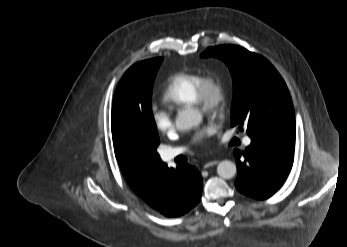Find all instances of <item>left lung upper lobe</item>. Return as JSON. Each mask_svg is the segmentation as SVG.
I'll return each instance as SVG.
<instances>
[{
  "instance_id": "left-lung-upper-lobe-1",
  "label": "left lung upper lobe",
  "mask_w": 347,
  "mask_h": 247,
  "mask_svg": "<svg viewBox=\"0 0 347 247\" xmlns=\"http://www.w3.org/2000/svg\"><path fill=\"white\" fill-rule=\"evenodd\" d=\"M202 57L223 60L233 78L231 124L247 126L251 139L281 136L295 139V116L288 88L264 57L235 45L208 48Z\"/></svg>"
}]
</instances>
